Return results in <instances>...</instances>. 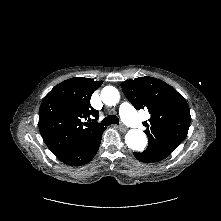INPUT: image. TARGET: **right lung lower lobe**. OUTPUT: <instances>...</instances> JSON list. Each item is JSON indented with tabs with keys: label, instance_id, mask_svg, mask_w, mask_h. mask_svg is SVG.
I'll list each match as a JSON object with an SVG mask.
<instances>
[{
	"label": "right lung lower lobe",
	"instance_id": "98d812e1",
	"mask_svg": "<svg viewBox=\"0 0 221 221\" xmlns=\"http://www.w3.org/2000/svg\"><path fill=\"white\" fill-rule=\"evenodd\" d=\"M106 127L90 133L80 143L69 151L57 156L60 161L71 166H81L87 164L96 155L102 134Z\"/></svg>",
	"mask_w": 221,
	"mask_h": 221
}]
</instances>
